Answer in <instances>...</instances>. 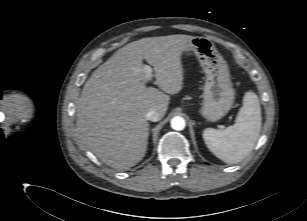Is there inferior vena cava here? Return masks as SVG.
<instances>
[{
  "label": "inferior vena cava",
  "mask_w": 307,
  "mask_h": 221,
  "mask_svg": "<svg viewBox=\"0 0 307 221\" xmlns=\"http://www.w3.org/2000/svg\"><path fill=\"white\" fill-rule=\"evenodd\" d=\"M146 119L150 120V121H158L161 119V116L159 114L158 111H156L155 109H150L147 113H146Z\"/></svg>",
  "instance_id": "obj_1"
}]
</instances>
